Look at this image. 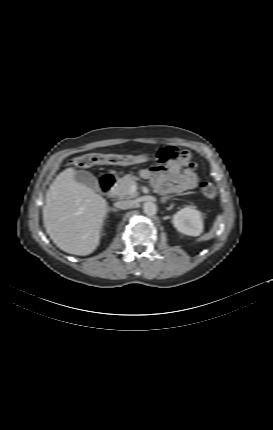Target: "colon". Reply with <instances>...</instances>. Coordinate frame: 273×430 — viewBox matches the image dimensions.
<instances>
[{
    "mask_svg": "<svg viewBox=\"0 0 273 430\" xmlns=\"http://www.w3.org/2000/svg\"><path fill=\"white\" fill-rule=\"evenodd\" d=\"M157 158L159 159L160 156L157 155ZM161 158L163 159L164 157ZM150 159L151 155L149 153L138 155L90 153L74 158L71 161V165L79 168H87L95 165H130ZM201 192L207 198H214L216 187L211 182H203L201 184Z\"/></svg>",
    "mask_w": 273,
    "mask_h": 430,
    "instance_id": "5ec220e1",
    "label": "colon"
}]
</instances>
